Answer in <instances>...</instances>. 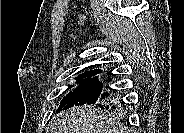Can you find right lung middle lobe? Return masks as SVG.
I'll list each match as a JSON object with an SVG mask.
<instances>
[{"instance_id":"right-lung-middle-lobe-1","label":"right lung middle lobe","mask_w":184,"mask_h":133,"mask_svg":"<svg viewBox=\"0 0 184 133\" xmlns=\"http://www.w3.org/2000/svg\"><path fill=\"white\" fill-rule=\"evenodd\" d=\"M76 83L78 86L61 100L58 112L74 105L95 104L94 100L103 91V83L96 77L77 78ZM96 108L114 113L119 107L114 100H110L108 103L96 104Z\"/></svg>"}]
</instances>
